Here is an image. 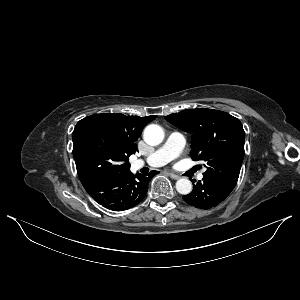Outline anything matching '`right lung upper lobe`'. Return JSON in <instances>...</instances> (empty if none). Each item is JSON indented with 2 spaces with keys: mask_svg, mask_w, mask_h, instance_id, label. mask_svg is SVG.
<instances>
[{
  "mask_svg": "<svg viewBox=\"0 0 300 300\" xmlns=\"http://www.w3.org/2000/svg\"><path fill=\"white\" fill-rule=\"evenodd\" d=\"M100 123L102 128L112 136L129 157L137 150L135 141L139 138L144 126L156 116H125L123 114L103 113L89 116Z\"/></svg>",
  "mask_w": 300,
  "mask_h": 300,
  "instance_id": "1",
  "label": "right lung upper lobe"
}]
</instances>
